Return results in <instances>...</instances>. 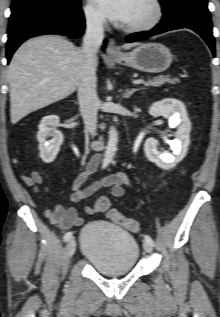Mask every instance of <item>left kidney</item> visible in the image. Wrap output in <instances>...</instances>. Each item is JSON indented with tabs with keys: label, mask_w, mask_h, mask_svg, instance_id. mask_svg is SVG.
<instances>
[{
	"label": "left kidney",
	"mask_w": 220,
	"mask_h": 317,
	"mask_svg": "<svg viewBox=\"0 0 220 317\" xmlns=\"http://www.w3.org/2000/svg\"><path fill=\"white\" fill-rule=\"evenodd\" d=\"M149 114L164 116L168 119L171 128H177L175 138L170 142L173 154L167 152L161 154L157 151V141L154 138H148L144 144V152L151 162L162 169L172 168L185 157L190 144L191 123L185 106L177 99L167 98L153 103L149 108Z\"/></svg>",
	"instance_id": "left-kidney-1"
}]
</instances>
